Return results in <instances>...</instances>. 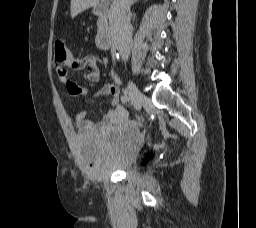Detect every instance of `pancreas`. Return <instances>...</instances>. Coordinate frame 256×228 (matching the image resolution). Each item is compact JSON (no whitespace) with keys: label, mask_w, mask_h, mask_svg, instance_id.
Returning <instances> with one entry per match:
<instances>
[{"label":"pancreas","mask_w":256,"mask_h":228,"mask_svg":"<svg viewBox=\"0 0 256 228\" xmlns=\"http://www.w3.org/2000/svg\"><path fill=\"white\" fill-rule=\"evenodd\" d=\"M102 22H103V20H102V19H99V20H98V27H99V28H101V26H102Z\"/></svg>","instance_id":"pancreas-1"}]
</instances>
